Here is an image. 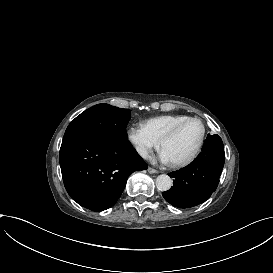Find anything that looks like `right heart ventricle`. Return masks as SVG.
<instances>
[{
    "mask_svg": "<svg viewBox=\"0 0 273 273\" xmlns=\"http://www.w3.org/2000/svg\"><path fill=\"white\" fill-rule=\"evenodd\" d=\"M190 116L185 114L175 115H163L150 118L144 122V125L150 135L157 141L160 142L162 137L177 123L186 120Z\"/></svg>",
    "mask_w": 273,
    "mask_h": 273,
    "instance_id": "obj_1",
    "label": "right heart ventricle"
}]
</instances>
